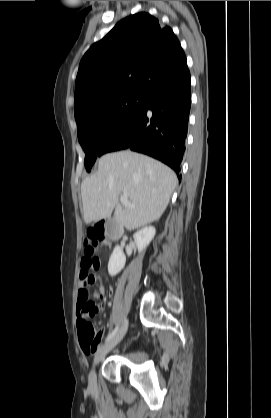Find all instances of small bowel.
Returning <instances> with one entry per match:
<instances>
[{"label": "small bowel", "instance_id": "small-bowel-1", "mask_svg": "<svg viewBox=\"0 0 271 418\" xmlns=\"http://www.w3.org/2000/svg\"><path fill=\"white\" fill-rule=\"evenodd\" d=\"M98 266L95 268L94 266H90L89 260L87 258H83L81 261V270H80V288L78 291V298H77V317L78 321L80 319L81 323H92L93 322V315L97 314L99 310L102 309L101 304H97L96 299H101L104 296V287L101 285L98 290L93 293V297L96 299H90L88 296V291L86 290V285L92 283L95 280V277L90 274L91 269H98ZM100 341V339H99ZM99 344V343H98ZM98 346V345H97ZM97 346L93 350H83L85 354H93L96 352Z\"/></svg>", "mask_w": 271, "mask_h": 418}]
</instances>
